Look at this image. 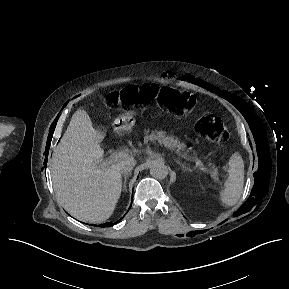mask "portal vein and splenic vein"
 Masks as SVG:
<instances>
[{"label": "portal vein and splenic vein", "instance_id": "portal-vein-and-splenic-vein-1", "mask_svg": "<svg viewBox=\"0 0 289 289\" xmlns=\"http://www.w3.org/2000/svg\"><path fill=\"white\" fill-rule=\"evenodd\" d=\"M165 147L168 148V145H165ZM127 156H128V154L125 151H120V152L114 153L107 160L104 161V164L114 163L118 160L124 159ZM184 156L186 157V155H184ZM193 160L195 161V164L198 166V168L201 171H203L204 173H208L207 169L205 168L204 164L202 163V161L200 159L193 158Z\"/></svg>", "mask_w": 289, "mask_h": 289}]
</instances>
